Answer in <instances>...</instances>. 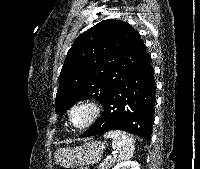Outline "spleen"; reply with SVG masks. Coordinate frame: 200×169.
I'll return each instance as SVG.
<instances>
[{"mask_svg":"<svg viewBox=\"0 0 200 169\" xmlns=\"http://www.w3.org/2000/svg\"><path fill=\"white\" fill-rule=\"evenodd\" d=\"M104 138L112 139V147L119 153V160H127L133 156L135 140L132 135L124 131L113 130L106 132Z\"/></svg>","mask_w":200,"mask_h":169,"instance_id":"3e777b00","label":"spleen"}]
</instances>
